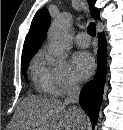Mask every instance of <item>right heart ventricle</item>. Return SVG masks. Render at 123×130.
Listing matches in <instances>:
<instances>
[{
  "label": "right heart ventricle",
  "mask_w": 123,
  "mask_h": 130,
  "mask_svg": "<svg viewBox=\"0 0 123 130\" xmlns=\"http://www.w3.org/2000/svg\"><path fill=\"white\" fill-rule=\"evenodd\" d=\"M33 74H34V80L36 81V83L38 84L40 89L46 93H50L48 83H47L44 73H43L41 53L38 54L34 59Z\"/></svg>",
  "instance_id": "obj_1"
}]
</instances>
